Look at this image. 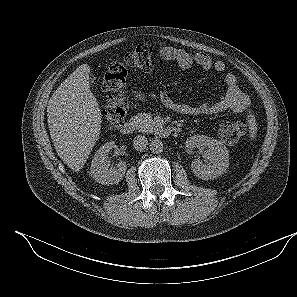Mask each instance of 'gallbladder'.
<instances>
[{
    "mask_svg": "<svg viewBox=\"0 0 297 297\" xmlns=\"http://www.w3.org/2000/svg\"><path fill=\"white\" fill-rule=\"evenodd\" d=\"M88 81H89L90 84H93L95 82V77H94L93 74L89 73V80Z\"/></svg>",
    "mask_w": 297,
    "mask_h": 297,
    "instance_id": "obj_1",
    "label": "gallbladder"
}]
</instances>
